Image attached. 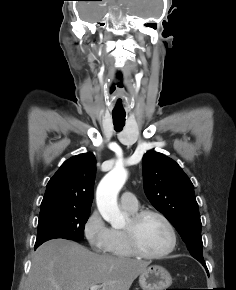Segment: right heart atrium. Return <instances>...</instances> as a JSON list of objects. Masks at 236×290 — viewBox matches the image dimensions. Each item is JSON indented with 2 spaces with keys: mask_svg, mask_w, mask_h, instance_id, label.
<instances>
[{
  "mask_svg": "<svg viewBox=\"0 0 236 290\" xmlns=\"http://www.w3.org/2000/svg\"><path fill=\"white\" fill-rule=\"evenodd\" d=\"M83 235L93 251L107 252L111 242V229L97 210H93L84 221Z\"/></svg>",
  "mask_w": 236,
  "mask_h": 290,
  "instance_id": "d8ad5b80",
  "label": "right heart atrium"
}]
</instances>
